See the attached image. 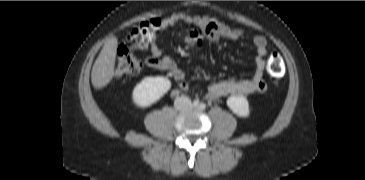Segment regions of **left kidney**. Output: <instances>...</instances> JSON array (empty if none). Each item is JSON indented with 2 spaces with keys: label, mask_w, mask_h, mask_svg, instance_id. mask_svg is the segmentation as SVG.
<instances>
[{
  "label": "left kidney",
  "mask_w": 365,
  "mask_h": 180,
  "mask_svg": "<svg viewBox=\"0 0 365 180\" xmlns=\"http://www.w3.org/2000/svg\"><path fill=\"white\" fill-rule=\"evenodd\" d=\"M227 106L240 117H248L250 114L249 102L246 97L233 95L227 99Z\"/></svg>",
  "instance_id": "5707ae66"
}]
</instances>
